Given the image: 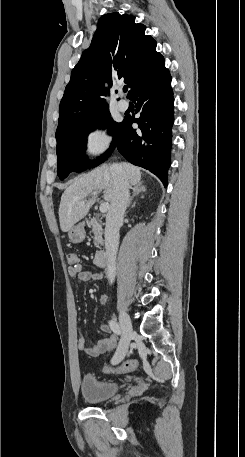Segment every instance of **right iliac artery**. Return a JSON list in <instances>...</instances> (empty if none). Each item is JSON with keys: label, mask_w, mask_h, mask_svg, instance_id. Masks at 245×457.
<instances>
[{"label": "right iliac artery", "mask_w": 245, "mask_h": 457, "mask_svg": "<svg viewBox=\"0 0 245 457\" xmlns=\"http://www.w3.org/2000/svg\"><path fill=\"white\" fill-rule=\"evenodd\" d=\"M109 326L116 335H118V336L121 335V333H122L121 327L116 321H114V320L109 321Z\"/></svg>", "instance_id": "obj_1"}]
</instances>
